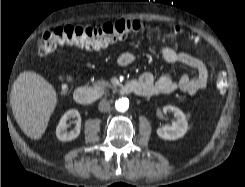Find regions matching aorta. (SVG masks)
<instances>
[{"label": "aorta", "instance_id": "762f6f07", "mask_svg": "<svg viewBox=\"0 0 245 187\" xmlns=\"http://www.w3.org/2000/svg\"><path fill=\"white\" fill-rule=\"evenodd\" d=\"M115 108L119 112H125L129 108V100L127 98H120L115 102Z\"/></svg>", "mask_w": 245, "mask_h": 187}]
</instances>
